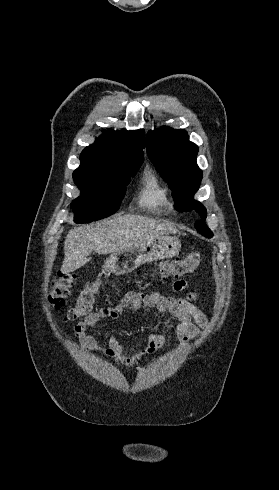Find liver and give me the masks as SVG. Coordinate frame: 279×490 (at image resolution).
Listing matches in <instances>:
<instances>
[{
  "label": "liver",
  "instance_id": "6515ba94",
  "mask_svg": "<svg viewBox=\"0 0 279 490\" xmlns=\"http://www.w3.org/2000/svg\"><path fill=\"white\" fill-rule=\"evenodd\" d=\"M178 232L170 222L151 220L143 216H113L112 220H102L90 226L74 228L69 232L64 244L62 274H70L85 266L90 254H114L126 248H136L154 238H165Z\"/></svg>",
  "mask_w": 279,
  "mask_h": 490
}]
</instances>
